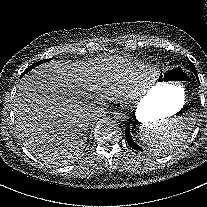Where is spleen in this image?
<instances>
[{
  "instance_id": "1",
  "label": "spleen",
  "mask_w": 207,
  "mask_h": 207,
  "mask_svg": "<svg viewBox=\"0 0 207 207\" xmlns=\"http://www.w3.org/2000/svg\"><path fill=\"white\" fill-rule=\"evenodd\" d=\"M198 119L193 109L180 117L172 116L163 123H157L141 132L140 140L150 149H172L181 145L192 133V126Z\"/></svg>"
}]
</instances>
